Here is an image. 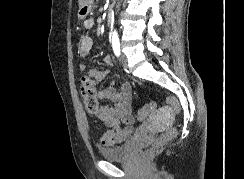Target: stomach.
Masks as SVG:
<instances>
[{"instance_id":"0dacf381","label":"stomach","mask_w":244,"mask_h":179,"mask_svg":"<svg viewBox=\"0 0 244 179\" xmlns=\"http://www.w3.org/2000/svg\"><path fill=\"white\" fill-rule=\"evenodd\" d=\"M92 4L93 0H79V20H84L88 16L89 12H91Z\"/></svg>"}]
</instances>
